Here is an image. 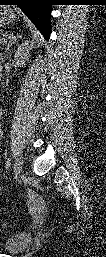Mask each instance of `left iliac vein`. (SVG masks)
I'll use <instances>...</instances> for the list:
<instances>
[{
	"label": "left iliac vein",
	"mask_w": 106,
	"mask_h": 257,
	"mask_svg": "<svg viewBox=\"0 0 106 257\" xmlns=\"http://www.w3.org/2000/svg\"><path fill=\"white\" fill-rule=\"evenodd\" d=\"M14 176H15V178L16 179H19V177H20V174H21V172H22V167H21V164H20V162L19 161H16L15 163H14Z\"/></svg>",
	"instance_id": "obj_1"
}]
</instances>
